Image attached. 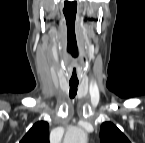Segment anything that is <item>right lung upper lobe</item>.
<instances>
[{"mask_svg":"<svg viewBox=\"0 0 145 143\" xmlns=\"http://www.w3.org/2000/svg\"><path fill=\"white\" fill-rule=\"evenodd\" d=\"M20 143H49V125L45 121L35 123Z\"/></svg>","mask_w":145,"mask_h":143,"instance_id":"obj_1","label":"right lung upper lobe"}]
</instances>
